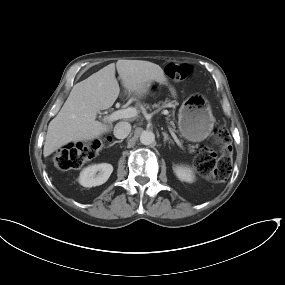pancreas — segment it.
<instances>
[{"label": "pancreas", "mask_w": 285, "mask_h": 285, "mask_svg": "<svg viewBox=\"0 0 285 285\" xmlns=\"http://www.w3.org/2000/svg\"><path fill=\"white\" fill-rule=\"evenodd\" d=\"M163 105H164V103H163ZM163 105H162V107H163ZM152 107L160 108L161 106H160V104H154ZM147 108H149V106H147ZM171 124L174 125L173 122H171ZM192 151L193 150H191V152Z\"/></svg>", "instance_id": "cf45deb5"}]
</instances>
